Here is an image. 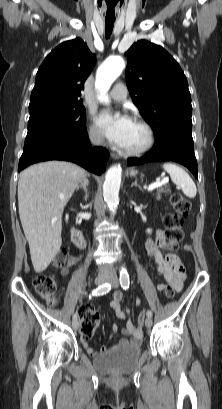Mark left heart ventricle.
<instances>
[{
  "mask_svg": "<svg viewBox=\"0 0 222 409\" xmlns=\"http://www.w3.org/2000/svg\"><path fill=\"white\" fill-rule=\"evenodd\" d=\"M147 139L145 130L138 124L132 123L123 148L136 149L142 147Z\"/></svg>",
  "mask_w": 222,
  "mask_h": 409,
  "instance_id": "1",
  "label": "left heart ventricle"
}]
</instances>
